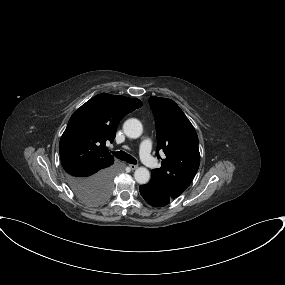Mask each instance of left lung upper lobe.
I'll return each mask as SVG.
<instances>
[{
  "label": "left lung upper lobe",
  "instance_id": "1",
  "mask_svg": "<svg viewBox=\"0 0 285 285\" xmlns=\"http://www.w3.org/2000/svg\"><path fill=\"white\" fill-rule=\"evenodd\" d=\"M155 117L157 148L165 158L152 177L164 183L175 196L181 195L192 182L200 164L198 136L180 107L171 99L150 97Z\"/></svg>",
  "mask_w": 285,
  "mask_h": 285
}]
</instances>
